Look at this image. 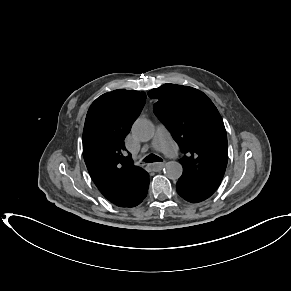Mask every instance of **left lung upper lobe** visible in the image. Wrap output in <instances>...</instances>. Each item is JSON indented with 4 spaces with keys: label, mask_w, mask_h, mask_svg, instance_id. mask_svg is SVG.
<instances>
[{
    "label": "left lung upper lobe",
    "mask_w": 291,
    "mask_h": 291,
    "mask_svg": "<svg viewBox=\"0 0 291 291\" xmlns=\"http://www.w3.org/2000/svg\"><path fill=\"white\" fill-rule=\"evenodd\" d=\"M148 95L157 99L154 113L185 154L181 177L215 192L228 161L226 130L215 105L203 92L176 84H164Z\"/></svg>",
    "instance_id": "1"
}]
</instances>
